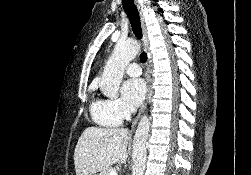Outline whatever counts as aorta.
<instances>
[{
	"instance_id": "762f6f07",
	"label": "aorta",
	"mask_w": 251,
	"mask_h": 175,
	"mask_svg": "<svg viewBox=\"0 0 251 175\" xmlns=\"http://www.w3.org/2000/svg\"><path fill=\"white\" fill-rule=\"evenodd\" d=\"M140 46L138 42H118L109 58L100 78L99 88L104 95L115 97L123 80L125 68L136 58ZM150 119L142 115L133 139L132 175H143L146 167V141L148 139Z\"/></svg>"
}]
</instances>
